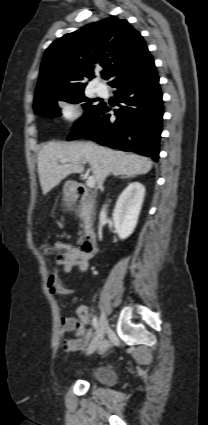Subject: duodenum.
<instances>
[{
	"mask_svg": "<svg viewBox=\"0 0 208 425\" xmlns=\"http://www.w3.org/2000/svg\"><path fill=\"white\" fill-rule=\"evenodd\" d=\"M69 190L78 201L84 203L83 216L88 226L86 227V231L83 235L81 249L87 254L95 253L97 251V237L94 230L89 226L91 193L89 189L81 183H72Z\"/></svg>",
	"mask_w": 208,
	"mask_h": 425,
	"instance_id": "duodenum-1",
	"label": "duodenum"
}]
</instances>
